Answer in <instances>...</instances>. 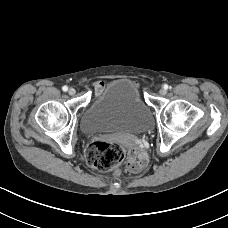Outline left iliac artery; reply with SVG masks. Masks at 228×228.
<instances>
[{"label": "left iliac artery", "instance_id": "obj_1", "mask_svg": "<svg viewBox=\"0 0 228 228\" xmlns=\"http://www.w3.org/2000/svg\"><path fill=\"white\" fill-rule=\"evenodd\" d=\"M164 89H168V85L167 84L164 85Z\"/></svg>", "mask_w": 228, "mask_h": 228}]
</instances>
